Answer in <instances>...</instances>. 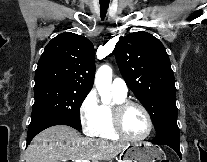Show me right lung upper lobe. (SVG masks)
<instances>
[{
  "label": "right lung upper lobe",
  "instance_id": "cb5924a9",
  "mask_svg": "<svg viewBox=\"0 0 207 162\" xmlns=\"http://www.w3.org/2000/svg\"><path fill=\"white\" fill-rule=\"evenodd\" d=\"M94 72L92 43L84 36L61 33L47 44L39 59L34 88L57 86L89 93Z\"/></svg>",
  "mask_w": 207,
  "mask_h": 162
}]
</instances>
